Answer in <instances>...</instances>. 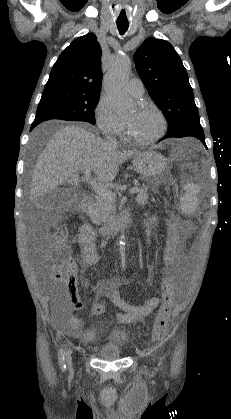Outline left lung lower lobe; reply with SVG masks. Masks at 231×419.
<instances>
[{"mask_svg":"<svg viewBox=\"0 0 231 419\" xmlns=\"http://www.w3.org/2000/svg\"><path fill=\"white\" fill-rule=\"evenodd\" d=\"M188 136L199 139L205 145V147H207L205 143L204 131L201 126L186 128L178 133L166 135L163 139L170 138V137L181 138V137H188Z\"/></svg>","mask_w":231,"mask_h":419,"instance_id":"1","label":"left lung lower lobe"}]
</instances>
